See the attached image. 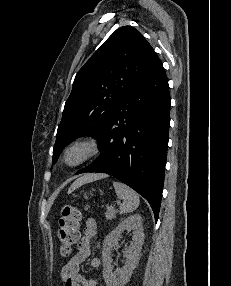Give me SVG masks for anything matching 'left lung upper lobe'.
<instances>
[{
	"instance_id": "5c2ea615",
	"label": "left lung upper lobe",
	"mask_w": 231,
	"mask_h": 286,
	"mask_svg": "<svg viewBox=\"0 0 231 286\" xmlns=\"http://www.w3.org/2000/svg\"><path fill=\"white\" fill-rule=\"evenodd\" d=\"M160 61L133 27L117 29L77 73L58 126L53 164L74 139L96 137L122 97Z\"/></svg>"
}]
</instances>
